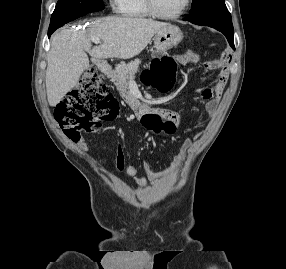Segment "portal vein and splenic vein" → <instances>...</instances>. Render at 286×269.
Masks as SVG:
<instances>
[{"label":"portal vein and splenic vein","mask_w":286,"mask_h":269,"mask_svg":"<svg viewBox=\"0 0 286 269\" xmlns=\"http://www.w3.org/2000/svg\"><path fill=\"white\" fill-rule=\"evenodd\" d=\"M93 42H94V43H100V42H101V40H100V39H98V38H94V39H93Z\"/></svg>","instance_id":"obj_1"}]
</instances>
